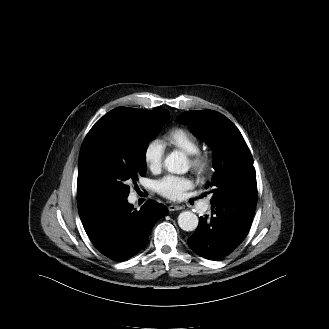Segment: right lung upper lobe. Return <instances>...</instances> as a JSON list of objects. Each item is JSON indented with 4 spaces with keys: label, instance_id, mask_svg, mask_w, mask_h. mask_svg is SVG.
I'll list each match as a JSON object with an SVG mask.
<instances>
[{
    "label": "right lung upper lobe",
    "instance_id": "obj_1",
    "mask_svg": "<svg viewBox=\"0 0 329 329\" xmlns=\"http://www.w3.org/2000/svg\"><path fill=\"white\" fill-rule=\"evenodd\" d=\"M130 110L132 112H134L136 115H138V117L142 120H148L153 114L160 111V110L144 111V110H139V109H135V108H130ZM93 133H94V130L91 128L89 133L86 135L82 146H84L89 141V139L92 137Z\"/></svg>",
    "mask_w": 329,
    "mask_h": 329
}]
</instances>
